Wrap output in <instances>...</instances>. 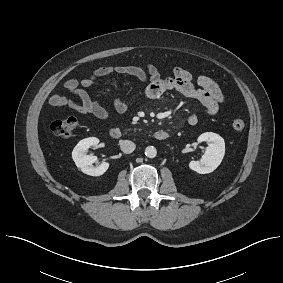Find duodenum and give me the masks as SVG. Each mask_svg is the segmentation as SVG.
<instances>
[{
	"label": "duodenum",
	"mask_w": 283,
	"mask_h": 283,
	"mask_svg": "<svg viewBox=\"0 0 283 283\" xmlns=\"http://www.w3.org/2000/svg\"><path fill=\"white\" fill-rule=\"evenodd\" d=\"M109 134H110V137L112 139H114V140H118L122 136L121 130L119 128H112V129H110ZM169 136H170L169 132L164 131V130L157 131L154 134V137L157 140H160V141L166 140L167 138H169Z\"/></svg>",
	"instance_id": "obj_1"
}]
</instances>
